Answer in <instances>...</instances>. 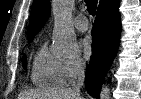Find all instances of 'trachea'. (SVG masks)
<instances>
[{"label": "trachea", "mask_w": 141, "mask_h": 99, "mask_svg": "<svg viewBox=\"0 0 141 99\" xmlns=\"http://www.w3.org/2000/svg\"><path fill=\"white\" fill-rule=\"evenodd\" d=\"M85 2L87 6V11L90 15L94 16L97 7V0H85Z\"/></svg>", "instance_id": "1"}]
</instances>
